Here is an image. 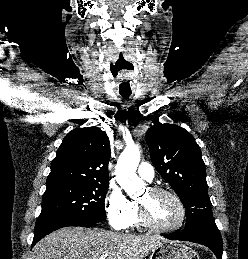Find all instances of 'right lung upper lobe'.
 <instances>
[{
	"instance_id": "cb5924a9",
	"label": "right lung upper lobe",
	"mask_w": 248,
	"mask_h": 259,
	"mask_svg": "<svg viewBox=\"0 0 248 259\" xmlns=\"http://www.w3.org/2000/svg\"><path fill=\"white\" fill-rule=\"evenodd\" d=\"M110 143L98 127L69 132L51 164L47 184L64 182H109Z\"/></svg>"
}]
</instances>
